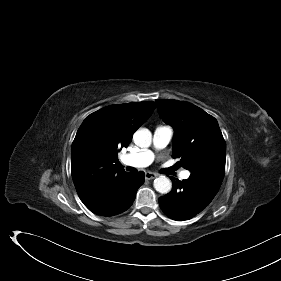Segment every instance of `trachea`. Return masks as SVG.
<instances>
[{
	"instance_id": "3493384b",
	"label": "trachea",
	"mask_w": 281,
	"mask_h": 281,
	"mask_svg": "<svg viewBox=\"0 0 281 281\" xmlns=\"http://www.w3.org/2000/svg\"><path fill=\"white\" fill-rule=\"evenodd\" d=\"M126 170L127 171H132V172L136 171L135 168H132V167H127Z\"/></svg>"
}]
</instances>
